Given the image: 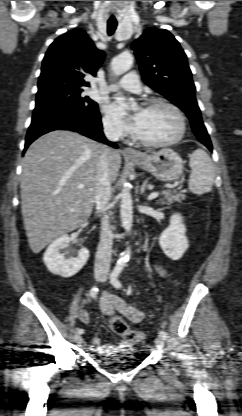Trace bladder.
Here are the masks:
<instances>
[{
  "instance_id": "31cf9c89",
  "label": "bladder",
  "mask_w": 242,
  "mask_h": 416,
  "mask_svg": "<svg viewBox=\"0 0 242 416\" xmlns=\"http://www.w3.org/2000/svg\"><path fill=\"white\" fill-rule=\"evenodd\" d=\"M115 356H117V355H113V354L110 355V357H115ZM110 366H112V367H120V366H122V364H120V363H113V364H110Z\"/></svg>"
}]
</instances>
